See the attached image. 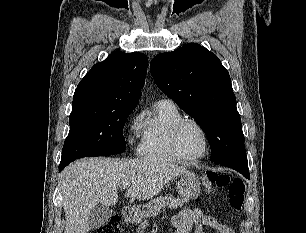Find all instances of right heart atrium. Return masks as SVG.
<instances>
[{
    "instance_id": "1",
    "label": "right heart atrium",
    "mask_w": 306,
    "mask_h": 233,
    "mask_svg": "<svg viewBox=\"0 0 306 233\" xmlns=\"http://www.w3.org/2000/svg\"><path fill=\"white\" fill-rule=\"evenodd\" d=\"M141 129V115L137 114L132 117L128 126V136L127 140L131 146L136 144L138 133Z\"/></svg>"
}]
</instances>
